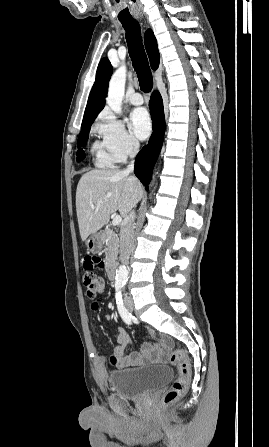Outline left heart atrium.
Here are the masks:
<instances>
[{"label": "left heart atrium", "instance_id": "obj_1", "mask_svg": "<svg viewBox=\"0 0 269 447\" xmlns=\"http://www.w3.org/2000/svg\"><path fill=\"white\" fill-rule=\"evenodd\" d=\"M130 120V127L135 136L141 140L147 139L152 131V120L147 109H134Z\"/></svg>", "mask_w": 269, "mask_h": 447}]
</instances>
